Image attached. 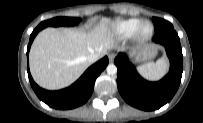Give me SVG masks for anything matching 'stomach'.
I'll return each mask as SVG.
<instances>
[{"instance_id":"0dacf381","label":"stomach","mask_w":203,"mask_h":123,"mask_svg":"<svg viewBox=\"0 0 203 123\" xmlns=\"http://www.w3.org/2000/svg\"><path fill=\"white\" fill-rule=\"evenodd\" d=\"M160 48L157 46L142 47L135 55V59L139 63H145L155 58L159 53Z\"/></svg>"}]
</instances>
